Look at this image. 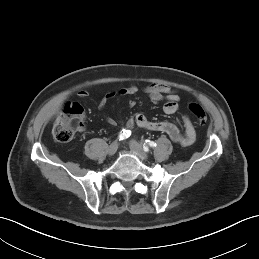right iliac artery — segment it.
Returning <instances> with one entry per match:
<instances>
[{"label": "right iliac artery", "instance_id": "obj_1", "mask_svg": "<svg viewBox=\"0 0 259 259\" xmlns=\"http://www.w3.org/2000/svg\"><path fill=\"white\" fill-rule=\"evenodd\" d=\"M131 135V131L130 130H125L123 129L120 133H119V140H124L126 138H128Z\"/></svg>", "mask_w": 259, "mask_h": 259}]
</instances>
